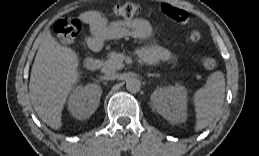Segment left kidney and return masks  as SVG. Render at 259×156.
<instances>
[{
	"mask_svg": "<svg viewBox=\"0 0 259 156\" xmlns=\"http://www.w3.org/2000/svg\"><path fill=\"white\" fill-rule=\"evenodd\" d=\"M152 107L170 122H184L187 117V89L179 84L156 89Z\"/></svg>",
	"mask_w": 259,
	"mask_h": 156,
	"instance_id": "1",
	"label": "left kidney"
}]
</instances>
